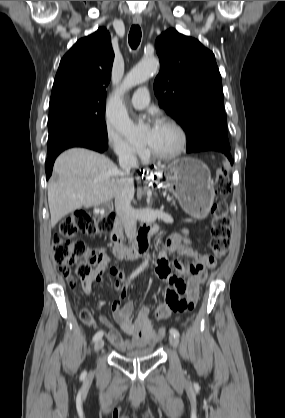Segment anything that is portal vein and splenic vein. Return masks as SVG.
Instances as JSON below:
<instances>
[{
  "label": "portal vein and splenic vein",
  "instance_id": "1",
  "mask_svg": "<svg viewBox=\"0 0 285 418\" xmlns=\"http://www.w3.org/2000/svg\"><path fill=\"white\" fill-rule=\"evenodd\" d=\"M167 201H171V198H169V197H168V198H167Z\"/></svg>",
  "mask_w": 285,
  "mask_h": 418
}]
</instances>
